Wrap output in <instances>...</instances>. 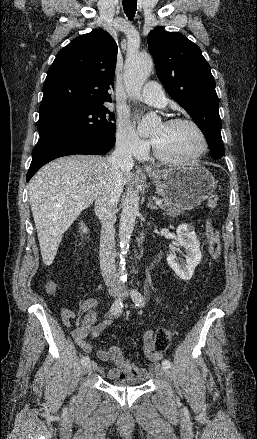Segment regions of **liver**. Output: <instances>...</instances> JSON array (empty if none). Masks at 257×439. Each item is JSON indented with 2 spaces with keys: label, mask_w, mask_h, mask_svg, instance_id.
Instances as JSON below:
<instances>
[{
  "label": "liver",
  "mask_w": 257,
  "mask_h": 439,
  "mask_svg": "<svg viewBox=\"0 0 257 439\" xmlns=\"http://www.w3.org/2000/svg\"><path fill=\"white\" fill-rule=\"evenodd\" d=\"M113 174L106 157L72 155L45 165L32 178L29 202L46 266L53 263L63 233L94 202ZM132 177L130 169L121 170L122 189Z\"/></svg>",
  "instance_id": "6515ba94"
}]
</instances>
